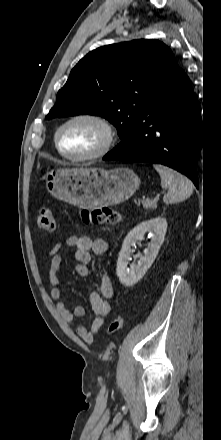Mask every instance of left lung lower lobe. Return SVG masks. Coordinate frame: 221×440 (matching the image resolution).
Wrapping results in <instances>:
<instances>
[{
  "label": "left lung lower lobe",
  "instance_id": "1",
  "mask_svg": "<svg viewBox=\"0 0 221 440\" xmlns=\"http://www.w3.org/2000/svg\"><path fill=\"white\" fill-rule=\"evenodd\" d=\"M202 149L200 105L182 69L146 105L127 146L103 160L159 163L198 186L197 155Z\"/></svg>",
  "mask_w": 221,
  "mask_h": 440
}]
</instances>
